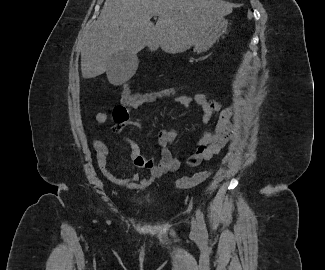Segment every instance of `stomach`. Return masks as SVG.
<instances>
[{"mask_svg":"<svg viewBox=\"0 0 325 270\" xmlns=\"http://www.w3.org/2000/svg\"><path fill=\"white\" fill-rule=\"evenodd\" d=\"M228 21L223 17L216 19L202 33L199 42L194 45V51L201 53L207 51L227 31Z\"/></svg>","mask_w":325,"mask_h":270,"instance_id":"1","label":"stomach"}]
</instances>
